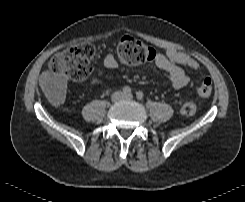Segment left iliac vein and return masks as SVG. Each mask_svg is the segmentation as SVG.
Wrapping results in <instances>:
<instances>
[{"label": "left iliac vein", "mask_w": 245, "mask_h": 202, "mask_svg": "<svg viewBox=\"0 0 245 202\" xmlns=\"http://www.w3.org/2000/svg\"><path fill=\"white\" fill-rule=\"evenodd\" d=\"M123 98L124 99H132L133 98V95L132 94L125 95Z\"/></svg>", "instance_id": "1"}]
</instances>
